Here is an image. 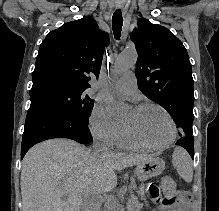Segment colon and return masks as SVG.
<instances>
[{"instance_id":"colon-1","label":"colon","mask_w":219,"mask_h":211,"mask_svg":"<svg viewBox=\"0 0 219 211\" xmlns=\"http://www.w3.org/2000/svg\"><path fill=\"white\" fill-rule=\"evenodd\" d=\"M160 185L166 198L170 201H175L176 183L173 178L168 175L163 176L160 180Z\"/></svg>"}]
</instances>
